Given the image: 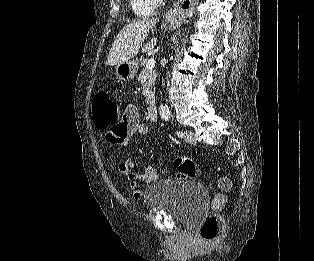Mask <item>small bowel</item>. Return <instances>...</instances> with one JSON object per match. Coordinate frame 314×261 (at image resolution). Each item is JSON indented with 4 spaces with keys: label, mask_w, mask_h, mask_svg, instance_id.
Here are the masks:
<instances>
[{
    "label": "small bowel",
    "mask_w": 314,
    "mask_h": 261,
    "mask_svg": "<svg viewBox=\"0 0 314 261\" xmlns=\"http://www.w3.org/2000/svg\"><path fill=\"white\" fill-rule=\"evenodd\" d=\"M147 133L148 127L140 122L137 108L134 105H129L124 111L121 122L113 126L108 133H105L104 139L110 140V145L115 147L126 146L133 135H146ZM156 165H163V162L160 160L153 161L142 166L140 170H135L134 162L129 157L118 164L117 169L128 180L129 188L135 200H140L143 197L139 182L152 183L158 179V173L154 169Z\"/></svg>",
    "instance_id": "1"
}]
</instances>
